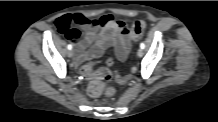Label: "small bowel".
<instances>
[{
    "label": "small bowel",
    "instance_id": "small-bowel-1",
    "mask_svg": "<svg viewBox=\"0 0 218 122\" xmlns=\"http://www.w3.org/2000/svg\"><path fill=\"white\" fill-rule=\"evenodd\" d=\"M72 19L73 24L85 32L83 39L72 40L76 47L77 63L92 62L100 58L108 48L114 49L120 61L126 60L131 47L130 30L124 21L119 20L117 11H108L96 18L76 14Z\"/></svg>",
    "mask_w": 218,
    "mask_h": 122
}]
</instances>
